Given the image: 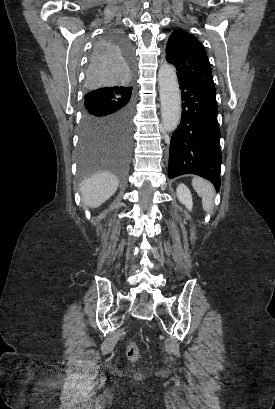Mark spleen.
<instances>
[{
  "mask_svg": "<svg viewBox=\"0 0 275 409\" xmlns=\"http://www.w3.org/2000/svg\"><path fill=\"white\" fill-rule=\"evenodd\" d=\"M192 186H194L197 194L202 196V207L206 213H210L214 207V186L209 180H204L200 176H195L192 180Z\"/></svg>",
  "mask_w": 275,
  "mask_h": 409,
  "instance_id": "3e777b00",
  "label": "spleen"
}]
</instances>
